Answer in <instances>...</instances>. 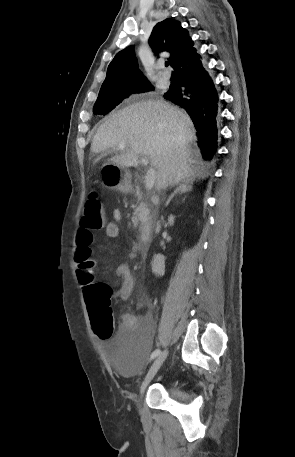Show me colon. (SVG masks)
<instances>
[{
    "label": "colon",
    "mask_w": 295,
    "mask_h": 457,
    "mask_svg": "<svg viewBox=\"0 0 295 457\" xmlns=\"http://www.w3.org/2000/svg\"><path fill=\"white\" fill-rule=\"evenodd\" d=\"M105 221L102 200L99 194L93 191L86 199L80 220L81 227L89 230L100 229L105 225ZM76 262L77 274L84 285V298L93 330L100 339L106 340L113 332L111 289L95 281L93 264L88 255H78Z\"/></svg>",
    "instance_id": "5ec220e1"
}]
</instances>
